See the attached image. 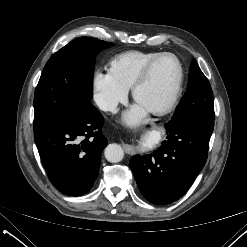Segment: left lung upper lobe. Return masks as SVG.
Listing matches in <instances>:
<instances>
[{
    "mask_svg": "<svg viewBox=\"0 0 247 247\" xmlns=\"http://www.w3.org/2000/svg\"><path fill=\"white\" fill-rule=\"evenodd\" d=\"M198 114L204 118L214 120L213 92L208 79L199 68L195 59L192 60L187 92L176 108L170 124L179 118Z\"/></svg>",
    "mask_w": 247,
    "mask_h": 247,
    "instance_id": "obj_1",
    "label": "left lung upper lobe"
}]
</instances>
